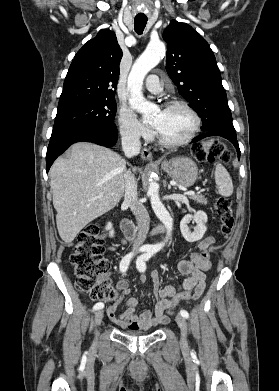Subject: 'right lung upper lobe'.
<instances>
[{"mask_svg": "<svg viewBox=\"0 0 279 391\" xmlns=\"http://www.w3.org/2000/svg\"><path fill=\"white\" fill-rule=\"evenodd\" d=\"M122 55L115 33L100 30L74 56L58 109L94 100H114Z\"/></svg>", "mask_w": 279, "mask_h": 391, "instance_id": "right-lung-upper-lobe-1", "label": "right lung upper lobe"}]
</instances>
